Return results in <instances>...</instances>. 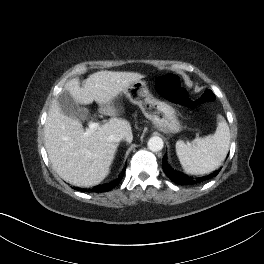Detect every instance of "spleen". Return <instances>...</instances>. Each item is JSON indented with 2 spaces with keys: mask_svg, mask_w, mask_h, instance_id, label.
I'll return each mask as SVG.
<instances>
[{
  "mask_svg": "<svg viewBox=\"0 0 264 264\" xmlns=\"http://www.w3.org/2000/svg\"><path fill=\"white\" fill-rule=\"evenodd\" d=\"M213 135L196 139L192 144L176 142V154L184 171L191 175H204L220 167L230 145V130L222 115Z\"/></svg>",
  "mask_w": 264,
  "mask_h": 264,
  "instance_id": "3e777b00",
  "label": "spleen"
}]
</instances>
